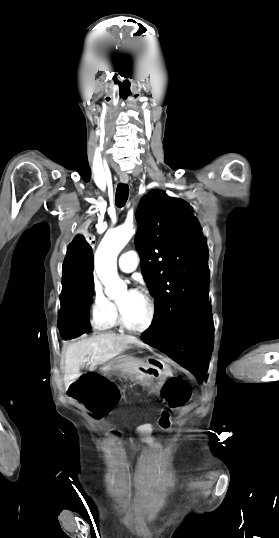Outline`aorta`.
Masks as SVG:
<instances>
[{"label": "aorta", "instance_id": "aorta-1", "mask_svg": "<svg viewBox=\"0 0 279 538\" xmlns=\"http://www.w3.org/2000/svg\"><path fill=\"white\" fill-rule=\"evenodd\" d=\"M134 234L133 225L126 223L106 232L95 253V269L111 299L122 297L127 285L117 273V256Z\"/></svg>", "mask_w": 279, "mask_h": 538}]
</instances>
